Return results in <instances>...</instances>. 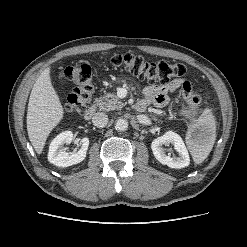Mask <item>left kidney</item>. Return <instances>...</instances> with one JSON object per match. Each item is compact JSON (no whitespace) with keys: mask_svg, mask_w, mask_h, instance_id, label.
<instances>
[{"mask_svg":"<svg viewBox=\"0 0 247 247\" xmlns=\"http://www.w3.org/2000/svg\"><path fill=\"white\" fill-rule=\"evenodd\" d=\"M172 144L179 156L171 157L166 155L164 145ZM151 149L155 158L163 165L170 168H185L190 163L188 150L182 138L173 131L166 132L163 136L154 139L151 143Z\"/></svg>","mask_w":247,"mask_h":247,"instance_id":"left-kidney-1","label":"left kidney"}]
</instances>
